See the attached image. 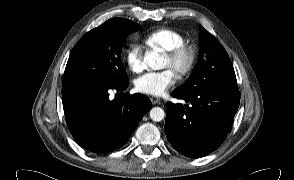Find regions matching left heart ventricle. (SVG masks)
<instances>
[{
  "label": "left heart ventricle",
  "instance_id": "b2bd125f",
  "mask_svg": "<svg viewBox=\"0 0 294 180\" xmlns=\"http://www.w3.org/2000/svg\"><path fill=\"white\" fill-rule=\"evenodd\" d=\"M164 67H169L174 72H176V66L171 63V61L169 60V58L167 56H165V59H164Z\"/></svg>",
  "mask_w": 294,
  "mask_h": 180
}]
</instances>
